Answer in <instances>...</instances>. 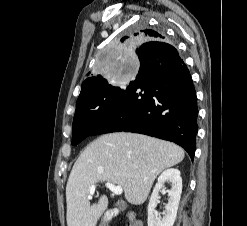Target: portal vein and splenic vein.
Instances as JSON below:
<instances>
[{
    "instance_id": "1",
    "label": "portal vein and splenic vein",
    "mask_w": 247,
    "mask_h": 226,
    "mask_svg": "<svg viewBox=\"0 0 247 226\" xmlns=\"http://www.w3.org/2000/svg\"><path fill=\"white\" fill-rule=\"evenodd\" d=\"M105 186L111 191L113 192L115 195H121L122 192H123V188L121 186H116L112 183H109V182H106L105 183ZM95 184L91 185L90 186V195L88 196V199H91L92 198V195L94 194L95 192Z\"/></svg>"
}]
</instances>
